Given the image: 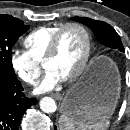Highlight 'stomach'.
Listing matches in <instances>:
<instances>
[{
  "label": "stomach",
  "mask_w": 130,
  "mask_h": 130,
  "mask_svg": "<svg viewBox=\"0 0 130 130\" xmlns=\"http://www.w3.org/2000/svg\"><path fill=\"white\" fill-rule=\"evenodd\" d=\"M120 91L121 77L116 64L108 58H99L67 90L61 112L87 124L109 119L115 111Z\"/></svg>",
  "instance_id": "stomach-1"
}]
</instances>
